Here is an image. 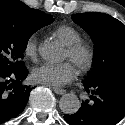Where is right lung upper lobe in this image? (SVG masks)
Here are the masks:
<instances>
[{
	"label": "right lung upper lobe",
	"instance_id": "1",
	"mask_svg": "<svg viewBox=\"0 0 125 125\" xmlns=\"http://www.w3.org/2000/svg\"><path fill=\"white\" fill-rule=\"evenodd\" d=\"M44 15L42 11L31 9L18 0L0 1V20L16 27L32 28L40 22Z\"/></svg>",
	"mask_w": 125,
	"mask_h": 125
}]
</instances>
